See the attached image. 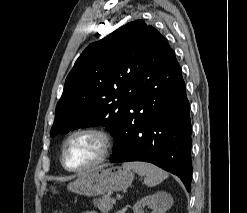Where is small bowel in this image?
Wrapping results in <instances>:
<instances>
[{"mask_svg":"<svg viewBox=\"0 0 247 213\" xmlns=\"http://www.w3.org/2000/svg\"><path fill=\"white\" fill-rule=\"evenodd\" d=\"M81 213H97V212H94V211H84V212H81Z\"/></svg>","mask_w":247,"mask_h":213,"instance_id":"1","label":"small bowel"}]
</instances>
